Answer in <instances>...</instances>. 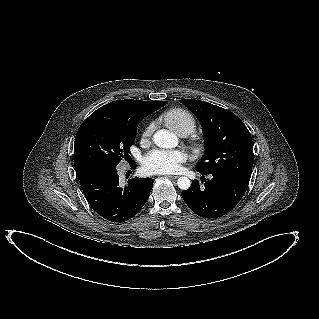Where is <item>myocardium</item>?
<instances>
[{
  "label": "myocardium",
  "instance_id": "myocardium-1",
  "mask_svg": "<svg viewBox=\"0 0 319 319\" xmlns=\"http://www.w3.org/2000/svg\"><path fill=\"white\" fill-rule=\"evenodd\" d=\"M192 145L194 150L198 153H201L204 150V145L201 141H195Z\"/></svg>",
  "mask_w": 319,
  "mask_h": 319
}]
</instances>
